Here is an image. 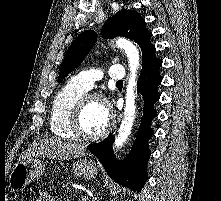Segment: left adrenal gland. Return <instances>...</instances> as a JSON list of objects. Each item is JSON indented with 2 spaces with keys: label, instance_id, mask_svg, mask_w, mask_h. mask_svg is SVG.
<instances>
[{
  "label": "left adrenal gland",
  "instance_id": "left-adrenal-gland-1",
  "mask_svg": "<svg viewBox=\"0 0 221 201\" xmlns=\"http://www.w3.org/2000/svg\"><path fill=\"white\" fill-rule=\"evenodd\" d=\"M98 200V197H93L91 201H97Z\"/></svg>",
  "mask_w": 221,
  "mask_h": 201
}]
</instances>
